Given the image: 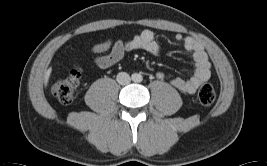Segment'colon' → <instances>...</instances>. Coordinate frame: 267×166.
<instances>
[{"label":"colon","mask_w":267,"mask_h":166,"mask_svg":"<svg viewBox=\"0 0 267 166\" xmlns=\"http://www.w3.org/2000/svg\"><path fill=\"white\" fill-rule=\"evenodd\" d=\"M82 68L75 66L70 73L59 78L52 87V92L58 101L64 105L71 104L79 85ZM198 99L202 105H212L216 100V92L211 82H204L198 91Z\"/></svg>","instance_id":"5ec220e1"}]
</instances>
